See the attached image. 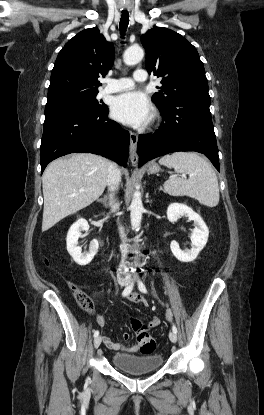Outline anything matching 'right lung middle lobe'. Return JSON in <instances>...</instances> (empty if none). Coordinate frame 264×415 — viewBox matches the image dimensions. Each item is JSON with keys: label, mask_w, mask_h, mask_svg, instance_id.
<instances>
[{"label": "right lung middle lobe", "mask_w": 264, "mask_h": 415, "mask_svg": "<svg viewBox=\"0 0 264 415\" xmlns=\"http://www.w3.org/2000/svg\"><path fill=\"white\" fill-rule=\"evenodd\" d=\"M97 94L98 92H69L50 97L45 106V115L61 111H100L107 106L96 99Z\"/></svg>", "instance_id": "obj_1"}]
</instances>
